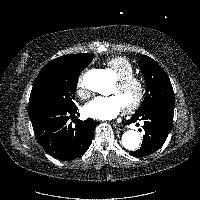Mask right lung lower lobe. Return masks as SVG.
Returning a JSON list of instances; mask_svg holds the SVG:
<instances>
[{
    "label": "right lung lower lobe",
    "instance_id": "obj_1",
    "mask_svg": "<svg viewBox=\"0 0 200 200\" xmlns=\"http://www.w3.org/2000/svg\"><path fill=\"white\" fill-rule=\"evenodd\" d=\"M77 109L56 107L29 112L36 139L56 159H76L91 145L96 121L79 120L72 126L69 119L75 117Z\"/></svg>",
    "mask_w": 200,
    "mask_h": 200
}]
</instances>
